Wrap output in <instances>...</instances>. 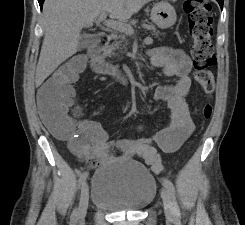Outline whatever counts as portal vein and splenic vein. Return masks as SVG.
<instances>
[{
	"label": "portal vein and splenic vein",
	"instance_id": "1",
	"mask_svg": "<svg viewBox=\"0 0 245 225\" xmlns=\"http://www.w3.org/2000/svg\"><path fill=\"white\" fill-rule=\"evenodd\" d=\"M107 13H101L98 17V21L103 22L107 27L125 33L126 35H134V29L131 25L123 23L121 21H116L113 19H106ZM146 43H151L152 38L147 37L145 39Z\"/></svg>",
	"mask_w": 245,
	"mask_h": 225
}]
</instances>
